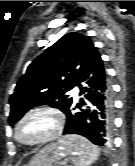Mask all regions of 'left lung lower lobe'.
Listing matches in <instances>:
<instances>
[{"label":"left lung lower lobe","instance_id":"left-lung-lower-lobe-1","mask_svg":"<svg viewBox=\"0 0 135 166\" xmlns=\"http://www.w3.org/2000/svg\"><path fill=\"white\" fill-rule=\"evenodd\" d=\"M81 82L90 86L82 87ZM78 86L80 94H85V98L95 106L93 110L86 107L83 99L77 103L80 108L75 112L72 105L64 112L67 116V123L64 134H79L88 138L91 142L99 146H105L110 143L113 132V97L111 85L107 79L103 61L100 54H96L90 64L82 74ZM81 107H85L81 109Z\"/></svg>","mask_w":135,"mask_h":166}]
</instances>
